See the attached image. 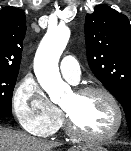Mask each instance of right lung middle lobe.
Listing matches in <instances>:
<instances>
[{
    "instance_id": "right-lung-middle-lobe-1",
    "label": "right lung middle lobe",
    "mask_w": 131,
    "mask_h": 151,
    "mask_svg": "<svg viewBox=\"0 0 131 151\" xmlns=\"http://www.w3.org/2000/svg\"><path fill=\"white\" fill-rule=\"evenodd\" d=\"M18 72L0 70V116L12 115V94Z\"/></svg>"
}]
</instances>
